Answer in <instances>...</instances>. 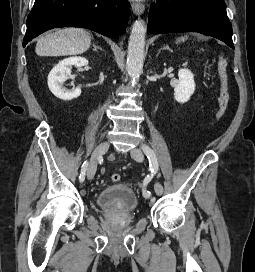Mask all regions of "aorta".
I'll use <instances>...</instances> for the list:
<instances>
[{
    "instance_id": "aorta-1",
    "label": "aorta",
    "mask_w": 255,
    "mask_h": 272,
    "mask_svg": "<svg viewBox=\"0 0 255 272\" xmlns=\"http://www.w3.org/2000/svg\"><path fill=\"white\" fill-rule=\"evenodd\" d=\"M146 27L142 20H136L132 26L129 44L126 70L135 85L143 71L144 48H145Z\"/></svg>"
}]
</instances>
